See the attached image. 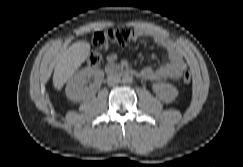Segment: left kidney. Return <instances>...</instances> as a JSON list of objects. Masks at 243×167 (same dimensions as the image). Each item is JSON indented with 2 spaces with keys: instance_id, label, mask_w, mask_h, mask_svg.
<instances>
[{
  "instance_id": "1",
  "label": "left kidney",
  "mask_w": 243,
  "mask_h": 167,
  "mask_svg": "<svg viewBox=\"0 0 243 167\" xmlns=\"http://www.w3.org/2000/svg\"><path fill=\"white\" fill-rule=\"evenodd\" d=\"M152 89L156 96L165 103L173 102L178 96V90L168 83L153 84Z\"/></svg>"
}]
</instances>
